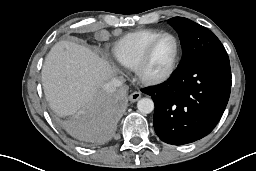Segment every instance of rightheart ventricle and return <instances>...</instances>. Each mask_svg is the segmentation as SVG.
<instances>
[{
	"instance_id": "right-heart-ventricle-1",
	"label": "right heart ventricle",
	"mask_w": 256,
	"mask_h": 171,
	"mask_svg": "<svg viewBox=\"0 0 256 171\" xmlns=\"http://www.w3.org/2000/svg\"><path fill=\"white\" fill-rule=\"evenodd\" d=\"M162 32L140 29L122 36L112 48V56L121 66L134 69L147 44Z\"/></svg>"
}]
</instances>
